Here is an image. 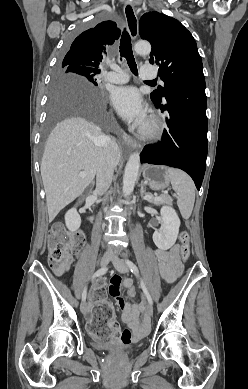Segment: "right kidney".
<instances>
[{"label": "right kidney", "instance_id": "obj_1", "mask_svg": "<svg viewBox=\"0 0 248 389\" xmlns=\"http://www.w3.org/2000/svg\"><path fill=\"white\" fill-rule=\"evenodd\" d=\"M65 224L69 231L75 232L81 225V217L76 208H72L65 214Z\"/></svg>", "mask_w": 248, "mask_h": 389}]
</instances>
